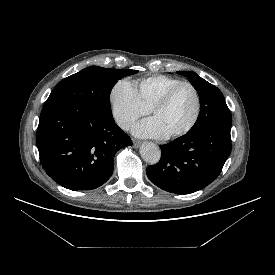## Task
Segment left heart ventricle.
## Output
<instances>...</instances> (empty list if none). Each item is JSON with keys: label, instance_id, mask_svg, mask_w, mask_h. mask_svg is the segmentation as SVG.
<instances>
[{"label": "left heart ventricle", "instance_id": "left-heart-ventricle-1", "mask_svg": "<svg viewBox=\"0 0 275 275\" xmlns=\"http://www.w3.org/2000/svg\"><path fill=\"white\" fill-rule=\"evenodd\" d=\"M195 109L194 92L184 86L174 94L169 104L157 110L153 117L168 135L184 128L193 118Z\"/></svg>", "mask_w": 275, "mask_h": 275}]
</instances>
